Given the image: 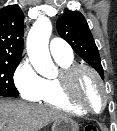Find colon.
I'll return each mask as SVG.
<instances>
[{"label": "colon", "mask_w": 117, "mask_h": 131, "mask_svg": "<svg viewBox=\"0 0 117 131\" xmlns=\"http://www.w3.org/2000/svg\"><path fill=\"white\" fill-rule=\"evenodd\" d=\"M84 131H99L95 125H88L85 127Z\"/></svg>", "instance_id": "1"}]
</instances>
